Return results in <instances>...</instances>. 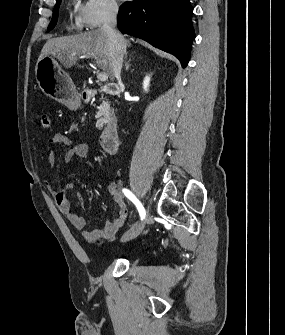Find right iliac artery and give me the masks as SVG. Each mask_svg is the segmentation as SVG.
Listing matches in <instances>:
<instances>
[{
  "label": "right iliac artery",
  "mask_w": 285,
  "mask_h": 335,
  "mask_svg": "<svg viewBox=\"0 0 285 335\" xmlns=\"http://www.w3.org/2000/svg\"><path fill=\"white\" fill-rule=\"evenodd\" d=\"M123 193L125 194V196L130 199L137 207L141 220H143L145 218L146 212L144 207L142 206V204L140 203V201L134 196V194L129 191L128 189H123Z\"/></svg>",
  "instance_id": "obj_1"
}]
</instances>
